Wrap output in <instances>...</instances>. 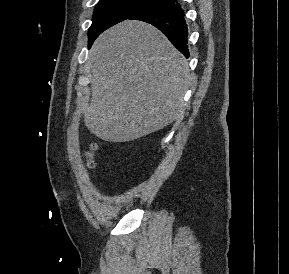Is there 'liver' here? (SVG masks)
Returning a JSON list of instances; mask_svg holds the SVG:
<instances>
[{
  "instance_id": "6515ba94",
  "label": "liver",
  "mask_w": 289,
  "mask_h": 274,
  "mask_svg": "<svg viewBox=\"0 0 289 274\" xmlns=\"http://www.w3.org/2000/svg\"><path fill=\"white\" fill-rule=\"evenodd\" d=\"M88 62L92 97L84 123L98 138L129 142L183 118L188 63L152 25L113 26L96 39Z\"/></svg>"
}]
</instances>
